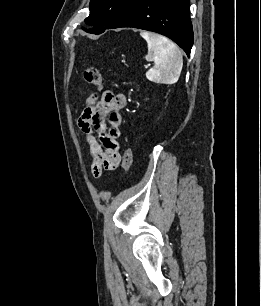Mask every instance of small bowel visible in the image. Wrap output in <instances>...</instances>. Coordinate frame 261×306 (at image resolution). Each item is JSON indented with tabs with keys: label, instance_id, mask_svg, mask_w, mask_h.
I'll list each match as a JSON object with an SVG mask.
<instances>
[{
	"label": "small bowel",
	"instance_id": "c3829d8e",
	"mask_svg": "<svg viewBox=\"0 0 261 306\" xmlns=\"http://www.w3.org/2000/svg\"><path fill=\"white\" fill-rule=\"evenodd\" d=\"M126 104L124 94L107 91L99 98H88L79 117L78 124L89 146L91 170L96 178L101 177L104 170L115 169L121 161L120 111Z\"/></svg>",
	"mask_w": 261,
	"mask_h": 306
}]
</instances>
